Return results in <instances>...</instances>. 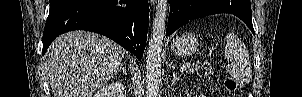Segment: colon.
<instances>
[{
	"mask_svg": "<svg viewBox=\"0 0 302 97\" xmlns=\"http://www.w3.org/2000/svg\"><path fill=\"white\" fill-rule=\"evenodd\" d=\"M214 71H213V67L210 63H203L200 65L199 67V74L202 77H211L213 75ZM240 86L239 82L236 81L233 78H228L225 81V87L228 91H235L236 89H238Z\"/></svg>",
	"mask_w": 302,
	"mask_h": 97,
	"instance_id": "colon-1",
	"label": "colon"
}]
</instances>
